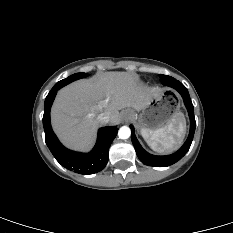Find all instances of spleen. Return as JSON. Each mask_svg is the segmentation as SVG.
<instances>
[{
	"mask_svg": "<svg viewBox=\"0 0 233 233\" xmlns=\"http://www.w3.org/2000/svg\"><path fill=\"white\" fill-rule=\"evenodd\" d=\"M186 129L182 113H176L171 121L156 130H142L141 135L147 144L156 152H170L178 147Z\"/></svg>",
	"mask_w": 233,
	"mask_h": 233,
	"instance_id": "spleen-1",
	"label": "spleen"
}]
</instances>
